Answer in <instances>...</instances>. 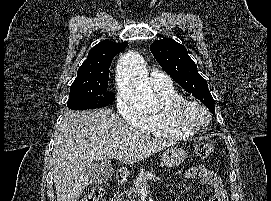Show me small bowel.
Instances as JSON below:
<instances>
[{"mask_svg": "<svg viewBox=\"0 0 271 201\" xmlns=\"http://www.w3.org/2000/svg\"><path fill=\"white\" fill-rule=\"evenodd\" d=\"M186 178H199L205 185L213 189V195L208 201H228L221 178L215 171L202 165H197L187 170Z\"/></svg>", "mask_w": 271, "mask_h": 201, "instance_id": "c3829d8e", "label": "small bowel"}]
</instances>
